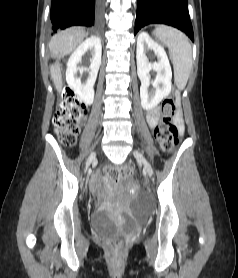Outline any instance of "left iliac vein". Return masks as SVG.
<instances>
[{
  "label": "left iliac vein",
  "instance_id": "1",
  "mask_svg": "<svg viewBox=\"0 0 238 278\" xmlns=\"http://www.w3.org/2000/svg\"><path fill=\"white\" fill-rule=\"evenodd\" d=\"M134 156L143 164L147 174L151 177L153 175V168L144 155L141 152L135 150Z\"/></svg>",
  "mask_w": 238,
  "mask_h": 278
}]
</instances>
